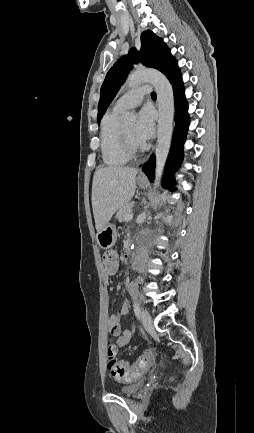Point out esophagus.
Returning <instances> with one entry per match:
<instances>
[{
  "label": "esophagus",
  "mask_w": 254,
  "mask_h": 433,
  "mask_svg": "<svg viewBox=\"0 0 254 433\" xmlns=\"http://www.w3.org/2000/svg\"><path fill=\"white\" fill-rule=\"evenodd\" d=\"M140 177H141V178H144L145 176H144V174H140Z\"/></svg>",
  "instance_id": "esophagus-1"
}]
</instances>
